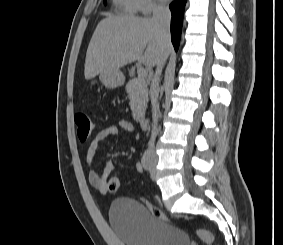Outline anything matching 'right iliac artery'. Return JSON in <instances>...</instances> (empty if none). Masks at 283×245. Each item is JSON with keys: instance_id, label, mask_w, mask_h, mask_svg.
I'll return each mask as SVG.
<instances>
[{"instance_id": "82829eb1", "label": "right iliac artery", "mask_w": 283, "mask_h": 245, "mask_svg": "<svg viewBox=\"0 0 283 245\" xmlns=\"http://www.w3.org/2000/svg\"><path fill=\"white\" fill-rule=\"evenodd\" d=\"M141 163H142V166L145 170H149L150 167H151V164H150V154L148 151H145V153L143 154L142 156V159H141Z\"/></svg>"}]
</instances>
